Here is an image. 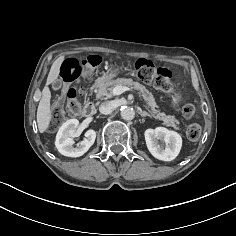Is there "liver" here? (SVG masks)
I'll list each match as a JSON object with an SVG mask.
<instances>
[{"label": "liver", "mask_w": 236, "mask_h": 236, "mask_svg": "<svg viewBox=\"0 0 236 236\" xmlns=\"http://www.w3.org/2000/svg\"><path fill=\"white\" fill-rule=\"evenodd\" d=\"M64 59V56H60L54 61L48 74L46 85L42 90V97L37 108V124L40 133H43L49 127L52 118L50 109L51 92L48 85L58 78L60 66Z\"/></svg>", "instance_id": "liver-1"}]
</instances>
